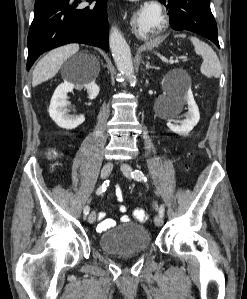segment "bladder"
<instances>
[{
  "label": "bladder",
  "mask_w": 247,
  "mask_h": 299,
  "mask_svg": "<svg viewBox=\"0 0 247 299\" xmlns=\"http://www.w3.org/2000/svg\"><path fill=\"white\" fill-rule=\"evenodd\" d=\"M98 243L100 248L109 254H137L150 248L151 235L145 226L127 222L103 232Z\"/></svg>",
  "instance_id": "1"
}]
</instances>
